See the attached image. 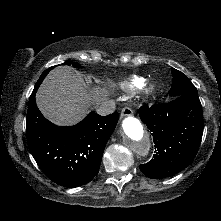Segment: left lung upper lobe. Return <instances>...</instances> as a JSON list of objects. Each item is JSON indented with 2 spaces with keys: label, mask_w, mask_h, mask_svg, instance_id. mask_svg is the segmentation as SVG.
Listing matches in <instances>:
<instances>
[{
  "label": "left lung upper lobe",
  "mask_w": 221,
  "mask_h": 221,
  "mask_svg": "<svg viewBox=\"0 0 221 221\" xmlns=\"http://www.w3.org/2000/svg\"><path fill=\"white\" fill-rule=\"evenodd\" d=\"M171 72L173 80L169 95L172 98L185 95L192 99H199L196 87L182 72L174 68H171Z\"/></svg>",
  "instance_id": "left-lung-upper-lobe-1"
}]
</instances>
